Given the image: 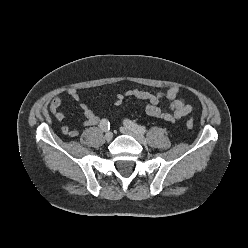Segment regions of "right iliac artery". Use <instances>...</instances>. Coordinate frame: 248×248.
I'll list each match as a JSON object with an SVG mask.
<instances>
[{
	"label": "right iliac artery",
	"instance_id": "1",
	"mask_svg": "<svg viewBox=\"0 0 248 248\" xmlns=\"http://www.w3.org/2000/svg\"><path fill=\"white\" fill-rule=\"evenodd\" d=\"M99 126L103 131L110 130V123L107 119H102Z\"/></svg>",
	"mask_w": 248,
	"mask_h": 248
}]
</instances>
